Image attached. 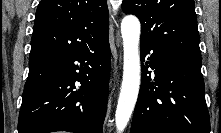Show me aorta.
<instances>
[{
    "label": "aorta",
    "mask_w": 221,
    "mask_h": 133,
    "mask_svg": "<svg viewBox=\"0 0 221 133\" xmlns=\"http://www.w3.org/2000/svg\"><path fill=\"white\" fill-rule=\"evenodd\" d=\"M140 31L141 25L135 16L129 15L123 18L121 22L124 49L123 81L115 113L118 133H122L129 122L139 93L141 79Z\"/></svg>",
    "instance_id": "1"
}]
</instances>
